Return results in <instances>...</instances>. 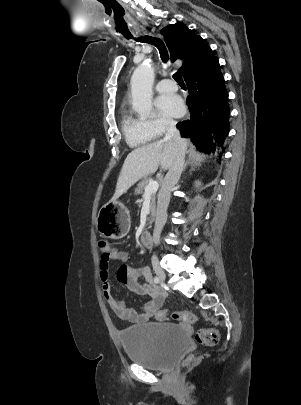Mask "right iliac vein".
<instances>
[{
    "label": "right iliac vein",
    "mask_w": 301,
    "mask_h": 405,
    "mask_svg": "<svg viewBox=\"0 0 301 405\" xmlns=\"http://www.w3.org/2000/svg\"><path fill=\"white\" fill-rule=\"evenodd\" d=\"M152 266H153V269H154L156 275L158 276V278H159L161 281H165V279H166L165 272H164V270L160 267V265H159V263H158V260H157L156 258H154V259L152 260Z\"/></svg>",
    "instance_id": "obj_1"
}]
</instances>
